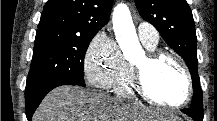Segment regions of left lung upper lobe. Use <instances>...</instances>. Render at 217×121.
I'll return each instance as SVG.
<instances>
[{"mask_svg":"<svg viewBox=\"0 0 217 121\" xmlns=\"http://www.w3.org/2000/svg\"><path fill=\"white\" fill-rule=\"evenodd\" d=\"M141 17L151 23L165 42L186 62L193 81L190 111L203 121V102L198 75L197 37L192 12L186 0H135Z\"/></svg>","mask_w":217,"mask_h":121,"instance_id":"obj_1","label":"left lung upper lobe"}]
</instances>
